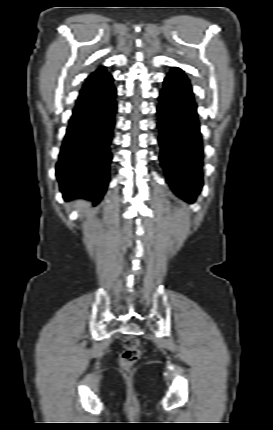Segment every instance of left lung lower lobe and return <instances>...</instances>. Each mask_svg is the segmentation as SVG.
Listing matches in <instances>:
<instances>
[{"mask_svg":"<svg viewBox=\"0 0 273 430\" xmlns=\"http://www.w3.org/2000/svg\"><path fill=\"white\" fill-rule=\"evenodd\" d=\"M159 102L162 167L173 192L193 203L203 184V147L192 88L179 68L165 77Z\"/></svg>","mask_w":273,"mask_h":430,"instance_id":"1","label":"left lung lower lobe"}]
</instances>
